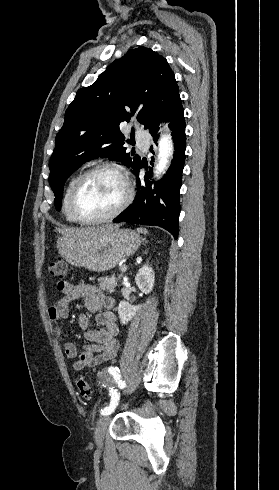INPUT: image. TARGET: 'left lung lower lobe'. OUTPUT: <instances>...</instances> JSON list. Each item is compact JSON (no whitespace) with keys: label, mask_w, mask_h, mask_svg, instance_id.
<instances>
[{"label":"left lung lower lobe","mask_w":279,"mask_h":490,"mask_svg":"<svg viewBox=\"0 0 279 490\" xmlns=\"http://www.w3.org/2000/svg\"><path fill=\"white\" fill-rule=\"evenodd\" d=\"M180 96L174 100L164 115V121L170 122L174 140V155L172 164L166 175L152 186L151 172L146 173L145 181L140 182L139 170L145 167L143 161L135 168L137 179V193L131 206L123 211L113 221L115 223L128 222L133 224L159 226L169 231L175 239L178 237V219L180 213V187L182 172L185 163L186 134L185 118ZM161 119L149 126V132L158 139V126ZM153 160V159H152Z\"/></svg>","instance_id":"obj_1"}]
</instances>
